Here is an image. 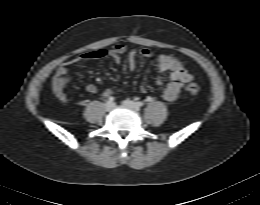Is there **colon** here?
Listing matches in <instances>:
<instances>
[{
	"label": "colon",
	"mask_w": 260,
	"mask_h": 205,
	"mask_svg": "<svg viewBox=\"0 0 260 205\" xmlns=\"http://www.w3.org/2000/svg\"><path fill=\"white\" fill-rule=\"evenodd\" d=\"M185 90L191 95H197L200 92V86L195 82H190L186 85Z\"/></svg>",
	"instance_id": "5ec220e1"
}]
</instances>
